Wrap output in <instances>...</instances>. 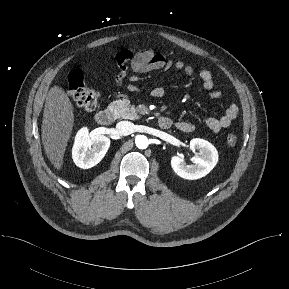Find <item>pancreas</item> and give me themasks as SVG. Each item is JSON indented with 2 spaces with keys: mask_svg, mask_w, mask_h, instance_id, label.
Instances as JSON below:
<instances>
[{
  "mask_svg": "<svg viewBox=\"0 0 289 289\" xmlns=\"http://www.w3.org/2000/svg\"><path fill=\"white\" fill-rule=\"evenodd\" d=\"M108 109L116 118L135 120L139 118L137 109L130 104L128 99L115 100L108 106Z\"/></svg>",
  "mask_w": 289,
  "mask_h": 289,
  "instance_id": "obj_1",
  "label": "pancreas"
}]
</instances>
